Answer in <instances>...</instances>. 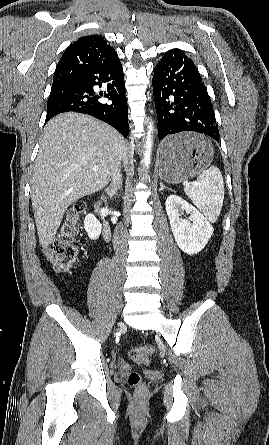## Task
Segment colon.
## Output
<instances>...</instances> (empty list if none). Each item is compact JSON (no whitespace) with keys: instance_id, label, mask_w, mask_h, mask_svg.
I'll use <instances>...</instances> for the list:
<instances>
[{"instance_id":"1","label":"colon","mask_w":269,"mask_h":445,"mask_svg":"<svg viewBox=\"0 0 269 445\" xmlns=\"http://www.w3.org/2000/svg\"><path fill=\"white\" fill-rule=\"evenodd\" d=\"M85 205L82 202L71 206L64 217L59 233L51 245L45 250L46 258L58 270L70 268L77 260L78 248L76 237L81 225ZM130 357L139 364H148L152 355L149 346L133 347L129 351ZM127 383L140 396L146 392V385L137 372H131L127 377Z\"/></svg>"}]
</instances>
